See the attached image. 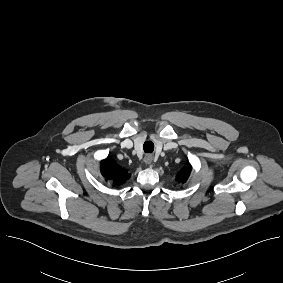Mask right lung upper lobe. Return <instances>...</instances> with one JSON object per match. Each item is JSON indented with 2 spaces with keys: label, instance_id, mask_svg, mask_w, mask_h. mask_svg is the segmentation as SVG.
Instances as JSON below:
<instances>
[{
  "label": "right lung upper lobe",
  "instance_id": "right-lung-upper-lobe-1",
  "mask_svg": "<svg viewBox=\"0 0 283 283\" xmlns=\"http://www.w3.org/2000/svg\"><path fill=\"white\" fill-rule=\"evenodd\" d=\"M100 168L105 179L109 180L114 186H120L130 178V174L112 159L107 158L102 160Z\"/></svg>",
  "mask_w": 283,
  "mask_h": 283
}]
</instances>
